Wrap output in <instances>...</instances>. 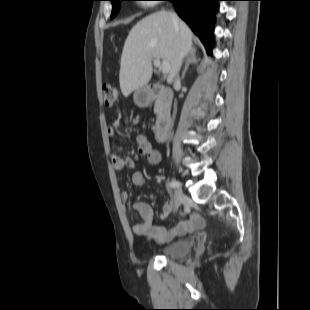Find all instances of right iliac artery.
<instances>
[{"mask_svg":"<svg viewBox=\"0 0 310 310\" xmlns=\"http://www.w3.org/2000/svg\"><path fill=\"white\" fill-rule=\"evenodd\" d=\"M168 186H169L170 188H176V187L179 186V183L176 182V181H171V182L168 183Z\"/></svg>","mask_w":310,"mask_h":310,"instance_id":"1","label":"right iliac artery"}]
</instances>
